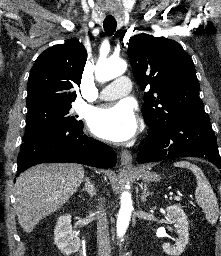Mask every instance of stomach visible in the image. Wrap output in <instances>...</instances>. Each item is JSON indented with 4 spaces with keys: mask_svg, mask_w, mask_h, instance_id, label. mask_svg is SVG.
Listing matches in <instances>:
<instances>
[{
    "mask_svg": "<svg viewBox=\"0 0 221 256\" xmlns=\"http://www.w3.org/2000/svg\"><path fill=\"white\" fill-rule=\"evenodd\" d=\"M138 174L141 175L142 179L146 183L154 182L160 180V176L156 173L150 172L147 167L143 166L135 170Z\"/></svg>",
    "mask_w": 221,
    "mask_h": 256,
    "instance_id": "stomach-1",
    "label": "stomach"
}]
</instances>
